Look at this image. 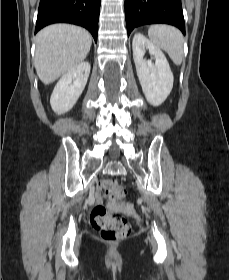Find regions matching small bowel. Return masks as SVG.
Instances as JSON below:
<instances>
[{
	"label": "small bowel",
	"mask_w": 229,
	"mask_h": 280,
	"mask_svg": "<svg viewBox=\"0 0 229 280\" xmlns=\"http://www.w3.org/2000/svg\"><path fill=\"white\" fill-rule=\"evenodd\" d=\"M97 201H100V198H99V197L97 198ZM109 207H110L111 209H115V208H116V206H115L113 203H109Z\"/></svg>",
	"instance_id": "1"
}]
</instances>
